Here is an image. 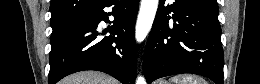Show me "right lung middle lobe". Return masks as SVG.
<instances>
[{"instance_id":"right-lung-middle-lobe-1","label":"right lung middle lobe","mask_w":260,"mask_h":84,"mask_svg":"<svg viewBox=\"0 0 260 84\" xmlns=\"http://www.w3.org/2000/svg\"><path fill=\"white\" fill-rule=\"evenodd\" d=\"M80 19H78V20H80ZM78 20H76V21H78ZM76 21L63 25V26H60V27L53 28V32L51 35V42L55 41L60 35H62L68 29V27H70Z\"/></svg>"}]
</instances>
